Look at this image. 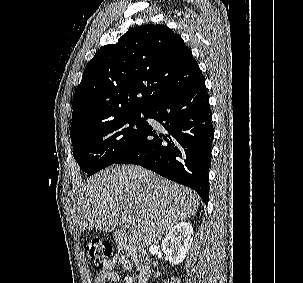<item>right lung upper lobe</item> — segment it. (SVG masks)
Instances as JSON below:
<instances>
[{
	"label": "right lung upper lobe",
	"instance_id": "1",
	"mask_svg": "<svg viewBox=\"0 0 303 283\" xmlns=\"http://www.w3.org/2000/svg\"><path fill=\"white\" fill-rule=\"evenodd\" d=\"M200 68L180 35L147 24L101 48L88 62L73 96L70 134L134 111H147L191 84Z\"/></svg>",
	"mask_w": 303,
	"mask_h": 283
}]
</instances>
